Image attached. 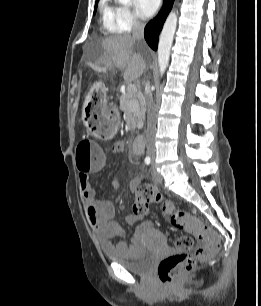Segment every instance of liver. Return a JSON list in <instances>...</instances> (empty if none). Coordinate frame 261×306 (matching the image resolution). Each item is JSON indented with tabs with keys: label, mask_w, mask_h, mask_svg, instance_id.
Wrapping results in <instances>:
<instances>
[{
	"label": "liver",
	"mask_w": 261,
	"mask_h": 306,
	"mask_svg": "<svg viewBox=\"0 0 261 306\" xmlns=\"http://www.w3.org/2000/svg\"><path fill=\"white\" fill-rule=\"evenodd\" d=\"M136 40L129 35L110 36L102 39L100 45L104 55L98 63L110 68H122L124 80L131 82L138 79L146 69V62L141 54L133 52Z\"/></svg>",
	"instance_id": "obj_1"
}]
</instances>
